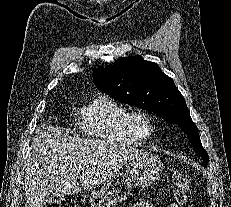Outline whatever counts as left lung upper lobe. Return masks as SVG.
Here are the masks:
<instances>
[{"label": "left lung upper lobe", "instance_id": "obj_1", "mask_svg": "<svg viewBox=\"0 0 231 207\" xmlns=\"http://www.w3.org/2000/svg\"><path fill=\"white\" fill-rule=\"evenodd\" d=\"M93 81L114 99L149 110L170 123L178 124L206 167L209 157L202 147L186 101L174 81L156 63L145 61L139 55L121 58L113 65L96 69Z\"/></svg>", "mask_w": 231, "mask_h": 207}]
</instances>
